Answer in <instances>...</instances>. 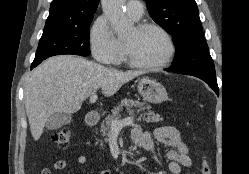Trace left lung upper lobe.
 Instances as JSON below:
<instances>
[{
	"label": "left lung upper lobe",
	"mask_w": 249,
	"mask_h": 174,
	"mask_svg": "<svg viewBox=\"0 0 249 174\" xmlns=\"http://www.w3.org/2000/svg\"><path fill=\"white\" fill-rule=\"evenodd\" d=\"M152 19L176 46L172 68L178 72H215L195 0H145Z\"/></svg>",
	"instance_id": "obj_1"
}]
</instances>
